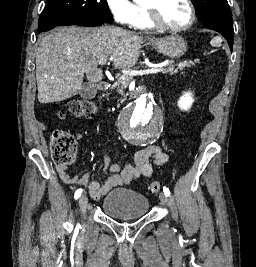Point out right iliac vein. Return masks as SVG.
Instances as JSON below:
<instances>
[{
  "instance_id": "obj_1",
  "label": "right iliac vein",
  "mask_w": 256,
  "mask_h": 267,
  "mask_svg": "<svg viewBox=\"0 0 256 267\" xmlns=\"http://www.w3.org/2000/svg\"><path fill=\"white\" fill-rule=\"evenodd\" d=\"M87 204L88 198L86 196H82L79 200V208L83 217L86 216Z\"/></svg>"
}]
</instances>
